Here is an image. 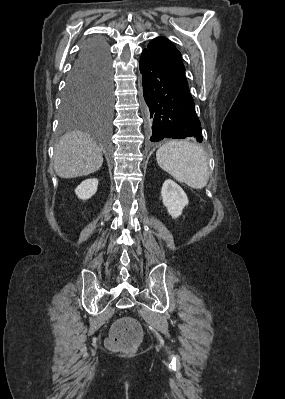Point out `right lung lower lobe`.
<instances>
[{
	"instance_id": "obj_1",
	"label": "right lung lower lobe",
	"mask_w": 285,
	"mask_h": 399,
	"mask_svg": "<svg viewBox=\"0 0 285 399\" xmlns=\"http://www.w3.org/2000/svg\"><path fill=\"white\" fill-rule=\"evenodd\" d=\"M93 63H105L111 66L107 43L100 38L90 39L83 44L72 69Z\"/></svg>"
}]
</instances>
